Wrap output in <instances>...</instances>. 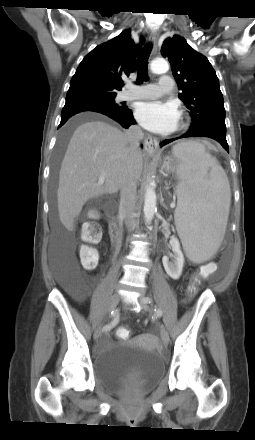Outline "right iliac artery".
Returning a JSON list of instances; mask_svg holds the SVG:
<instances>
[{
    "label": "right iliac artery",
    "instance_id": "1",
    "mask_svg": "<svg viewBox=\"0 0 255 440\" xmlns=\"http://www.w3.org/2000/svg\"><path fill=\"white\" fill-rule=\"evenodd\" d=\"M111 316H113V320L111 321L110 324H108V325L103 327V331L111 330L113 327H115L118 324V322H119V313L117 312V310H113L111 312Z\"/></svg>",
    "mask_w": 255,
    "mask_h": 440
}]
</instances>
